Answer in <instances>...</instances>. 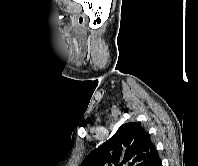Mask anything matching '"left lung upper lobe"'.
I'll return each instance as SVG.
<instances>
[{"label":"left lung upper lobe","mask_w":198,"mask_h":166,"mask_svg":"<svg viewBox=\"0 0 198 166\" xmlns=\"http://www.w3.org/2000/svg\"><path fill=\"white\" fill-rule=\"evenodd\" d=\"M156 155L150 135L138 123L130 122L93 150L81 166H149Z\"/></svg>","instance_id":"obj_1"}]
</instances>
